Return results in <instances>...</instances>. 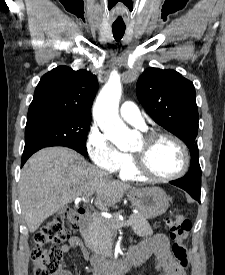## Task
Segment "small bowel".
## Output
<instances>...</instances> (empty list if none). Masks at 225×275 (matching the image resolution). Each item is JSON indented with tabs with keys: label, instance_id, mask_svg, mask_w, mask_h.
<instances>
[{
	"label": "small bowel",
	"instance_id": "1",
	"mask_svg": "<svg viewBox=\"0 0 225 275\" xmlns=\"http://www.w3.org/2000/svg\"><path fill=\"white\" fill-rule=\"evenodd\" d=\"M76 248H83V241L78 236L71 237L66 244L61 247L64 254L70 253ZM135 257L138 264H144L151 256H155L154 270L158 275H186L185 270L175 260L169 251V241L162 234H155L141 241L130 252ZM142 269L139 275H144ZM60 275H72L68 271H63Z\"/></svg>",
	"mask_w": 225,
	"mask_h": 275
}]
</instances>
